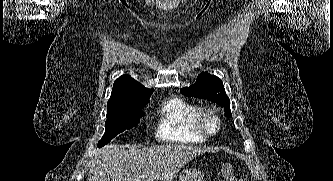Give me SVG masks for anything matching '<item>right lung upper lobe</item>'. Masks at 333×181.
<instances>
[{"label": "right lung upper lobe", "mask_w": 333, "mask_h": 181, "mask_svg": "<svg viewBox=\"0 0 333 181\" xmlns=\"http://www.w3.org/2000/svg\"><path fill=\"white\" fill-rule=\"evenodd\" d=\"M154 89L145 88L128 75L116 79L111 97L107 103V111L147 104Z\"/></svg>", "instance_id": "cb5924a9"}]
</instances>
